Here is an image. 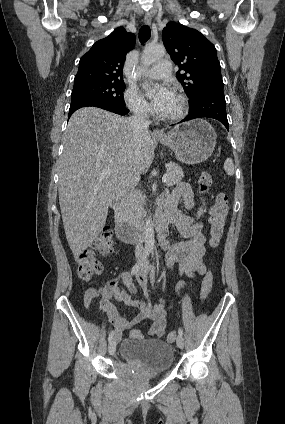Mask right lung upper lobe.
I'll use <instances>...</instances> for the list:
<instances>
[{
  "label": "right lung upper lobe",
  "instance_id": "obj_1",
  "mask_svg": "<svg viewBox=\"0 0 285 424\" xmlns=\"http://www.w3.org/2000/svg\"><path fill=\"white\" fill-rule=\"evenodd\" d=\"M135 46V35L123 27L94 43L81 57L74 84L92 81H123L126 54Z\"/></svg>",
  "mask_w": 285,
  "mask_h": 424
}]
</instances>
